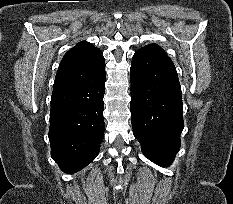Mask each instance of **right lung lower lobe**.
I'll return each instance as SVG.
<instances>
[{
  "label": "right lung lower lobe",
  "instance_id": "right-lung-lower-lobe-1",
  "mask_svg": "<svg viewBox=\"0 0 233 204\" xmlns=\"http://www.w3.org/2000/svg\"><path fill=\"white\" fill-rule=\"evenodd\" d=\"M105 65L90 79L53 91L49 140L51 156L66 173L91 163L104 138Z\"/></svg>",
  "mask_w": 233,
  "mask_h": 204
}]
</instances>
